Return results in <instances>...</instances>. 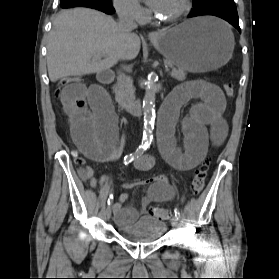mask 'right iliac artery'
Here are the masks:
<instances>
[{"instance_id": "1", "label": "right iliac artery", "mask_w": 279, "mask_h": 279, "mask_svg": "<svg viewBox=\"0 0 279 279\" xmlns=\"http://www.w3.org/2000/svg\"><path fill=\"white\" fill-rule=\"evenodd\" d=\"M145 150H146V147L139 146L134 153H131L124 157V164L126 165V164L130 163L131 161H133L134 159L138 158L139 156H141L143 154V152ZM112 202H113V195L111 194L110 197L108 198L107 204L111 205Z\"/></svg>"}]
</instances>
